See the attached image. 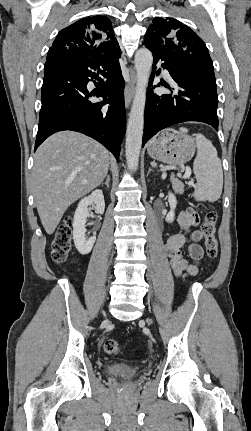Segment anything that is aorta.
Returning <instances> with one entry per match:
<instances>
[{
	"label": "aorta",
	"mask_w": 251,
	"mask_h": 431,
	"mask_svg": "<svg viewBox=\"0 0 251 431\" xmlns=\"http://www.w3.org/2000/svg\"><path fill=\"white\" fill-rule=\"evenodd\" d=\"M153 56L146 48L139 49L135 54V70L137 84L132 107L127 123L125 155L127 166L136 171L142 145L144 127V109L146 102V88L149 81Z\"/></svg>",
	"instance_id": "762f6f07"
}]
</instances>
